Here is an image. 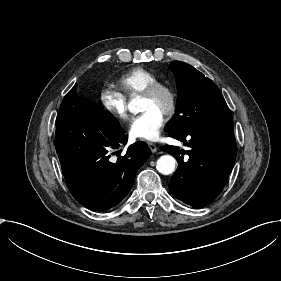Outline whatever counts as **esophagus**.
I'll return each mask as SVG.
<instances>
[{"instance_id":"obj_1","label":"esophagus","mask_w":281,"mask_h":281,"mask_svg":"<svg viewBox=\"0 0 281 281\" xmlns=\"http://www.w3.org/2000/svg\"><path fill=\"white\" fill-rule=\"evenodd\" d=\"M147 144L152 153H155L157 151V146L155 144H153L152 142H147Z\"/></svg>"}]
</instances>
